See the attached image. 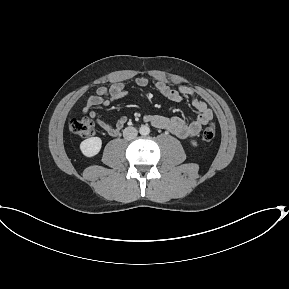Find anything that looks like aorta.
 I'll return each instance as SVG.
<instances>
[{
	"mask_svg": "<svg viewBox=\"0 0 289 289\" xmlns=\"http://www.w3.org/2000/svg\"><path fill=\"white\" fill-rule=\"evenodd\" d=\"M141 135H148L150 133V128L147 125H142L139 129Z\"/></svg>",
	"mask_w": 289,
	"mask_h": 289,
	"instance_id": "aorta-1",
	"label": "aorta"
}]
</instances>
